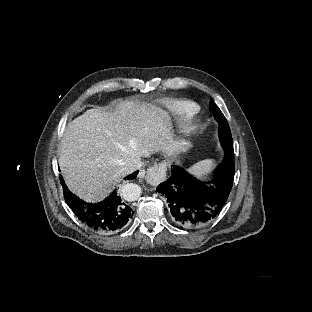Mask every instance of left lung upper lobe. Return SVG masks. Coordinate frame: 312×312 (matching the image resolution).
Returning a JSON list of instances; mask_svg holds the SVG:
<instances>
[{
	"instance_id": "left-lung-upper-lobe-1",
	"label": "left lung upper lobe",
	"mask_w": 312,
	"mask_h": 312,
	"mask_svg": "<svg viewBox=\"0 0 312 312\" xmlns=\"http://www.w3.org/2000/svg\"><path fill=\"white\" fill-rule=\"evenodd\" d=\"M212 112L214 118L218 121L220 126L219 136L222 146L233 148V140L228 122L223 113L221 112V110L219 109V107L213 102H212Z\"/></svg>"
}]
</instances>
